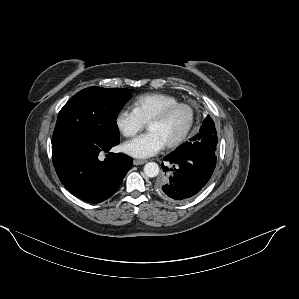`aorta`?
Returning a JSON list of instances; mask_svg holds the SVG:
<instances>
[{
	"label": "aorta",
	"instance_id": "aorta-1",
	"mask_svg": "<svg viewBox=\"0 0 299 299\" xmlns=\"http://www.w3.org/2000/svg\"><path fill=\"white\" fill-rule=\"evenodd\" d=\"M144 173L146 176L153 178L159 174V166L155 162H148L144 166Z\"/></svg>",
	"mask_w": 299,
	"mask_h": 299
}]
</instances>
